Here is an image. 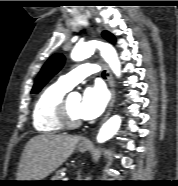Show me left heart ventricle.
Segmentation results:
<instances>
[{"label":"left heart ventricle","mask_w":178,"mask_h":186,"mask_svg":"<svg viewBox=\"0 0 178 186\" xmlns=\"http://www.w3.org/2000/svg\"><path fill=\"white\" fill-rule=\"evenodd\" d=\"M79 105H80V100L79 99L69 98L67 100V106H68L69 113L74 119H81L80 116H79V112H78Z\"/></svg>","instance_id":"obj_1"}]
</instances>
